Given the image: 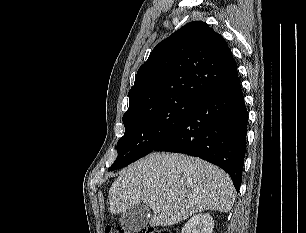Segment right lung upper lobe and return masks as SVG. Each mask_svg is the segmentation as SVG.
<instances>
[{
	"instance_id": "right-lung-upper-lobe-1",
	"label": "right lung upper lobe",
	"mask_w": 306,
	"mask_h": 233,
	"mask_svg": "<svg viewBox=\"0 0 306 233\" xmlns=\"http://www.w3.org/2000/svg\"><path fill=\"white\" fill-rule=\"evenodd\" d=\"M238 81L224 38L202 21L190 22L161 41L139 68L127 112L174 98L200 104Z\"/></svg>"
}]
</instances>
